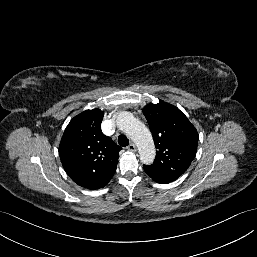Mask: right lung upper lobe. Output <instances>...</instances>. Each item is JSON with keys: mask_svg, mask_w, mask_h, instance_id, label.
I'll return each mask as SVG.
<instances>
[{"mask_svg": "<svg viewBox=\"0 0 257 257\" xmlns=\"http://www.w3.org/2000/svg\"><path fill=\"white\" fill-rule=\"evenodd\" d=\"M103 111L86 110L66 127L59 155L66 173L78 185L94 190L108 184L118 163L121 147L101 131Z\"/></svg>", "mask_w": 257, "mask_h": 257, "instance_id": "right-lung-upper-lobe-1", "label": "right lung upper lobe"}]
</instances>
